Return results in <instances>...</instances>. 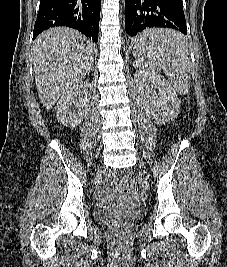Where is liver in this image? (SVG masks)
I'll return each instance as SVG.
<instances>
[{"label": "liver", "mask_w": 227, "mask_h": 267, "mask_svg": "<svg viewBox=\"0 0 227 267\" xmlns=\"http://www.w3.org/2000/svg\"><path fill=\"white\" fill-rule=\"evenodd\" d=\"M32 60L39 99L50 110L90 71L93 44L73 29L51 28L35 39Z\"/></svg>", "instance_id": "6515ba94"}]
</instances>
